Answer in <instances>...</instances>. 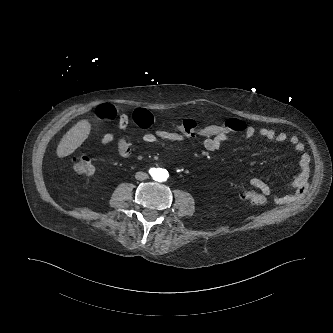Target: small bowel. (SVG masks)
I'll use <instances>...</instances> for the list:
<instances>
[{"mask_svg":"<svg viewBox=\"0 0 333 333\" xmlns=\"http://www.w3.org/2000/svg\"><path fill=\"white\" fill-rule=\"evenodd\" d=\"M133 121L141 128H150L154 124V117L146 110L138 108L132 114ZM229 120V119H228ZM129 118L126 114H120L117 122V129H124L128 125ZM166 122L163 124L165 125ZM239 134V139L246 141L252 139L256 134L260 137L277 141H288L295 151L300 155L299 165L300 171L296 179L289 184L290 192L277 197L276 201L280 204H286L297 200L305 189L307 173L310 167V156L304 152L305 146L297 136L288 137V135L278 128L262 127L256 129L253 126H247L243 133ZM211 136L204 138L203 147L209 152H216L220 149L223 143L229 141L233 135ZM196 137L193 133L186 135L181 130L169 131L164 128L147 132L142 135V141L148 144H155L168 149H177L178 145L186 140ZM114 139V132H103L99 136V141L102 146H109ZM117 151L123 157H128L132 154V146L126 138H121L117 144ZM249 184L254 189L258 190L261 194L269 196L272 193L271 186L264 180L253 177L249 180Z\"/></svg>","mask_w":333,"mask_h":333,"instance_id":"small-bowel-1","label":"small bowel"}]
</instances>
